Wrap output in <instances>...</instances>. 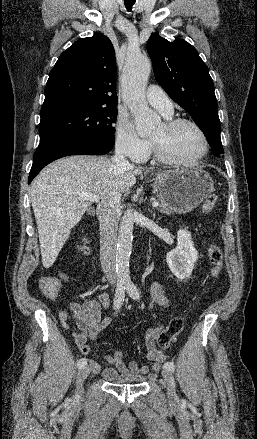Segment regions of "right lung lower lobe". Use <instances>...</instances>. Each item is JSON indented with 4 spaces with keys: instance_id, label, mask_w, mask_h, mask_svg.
<instances>
[{
    "instance_id": "obj_1",
    "label": "right lung lower lobe",
    "mask_w": 257,
    "mask_h": 439,
    "mask_svg": "<svg viewBox=\"0 0 257 439\" xmlns=\"http://www.w3.org/2000/svg\"><path fill=\"white\" fill-rule=\"evenodd\" d=\"M113 146L114 144L104 140L74 135L58 136L40 142L33 157L28 183L43 167L56 159L76 154L103 155L108 153Z\"/></svg>"
}]
</instances>
